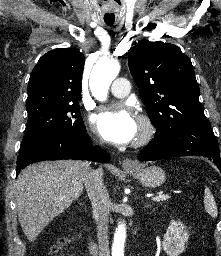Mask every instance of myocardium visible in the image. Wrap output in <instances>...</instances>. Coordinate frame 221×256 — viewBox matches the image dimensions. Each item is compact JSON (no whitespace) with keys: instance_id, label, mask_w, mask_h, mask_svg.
Wrapping results in <instances>:
<instances>
[{"instance_id":"f54148a6","label":"myocardium","mask_w":221,"mask_h":256,"mask_svg":"<svg viewBox=\"0 0 221 256\" xmlns=\"http://www.w3.org/2000/svg\"><path fill=\"white\" fill-rule=\"evenodd\" d=\"M140 133L135 140V146H143L149 143L156 134V126L152 119L147 115L139 116Z\"/></svg>"}]
</instances>
